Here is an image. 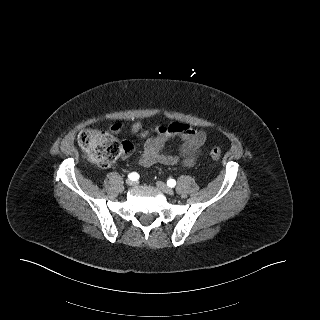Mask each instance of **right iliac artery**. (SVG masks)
Wrapping results in <instances>:
<instances>
[{"mask_svg":"<svg viewBox=\"0 0 320 320\" xmlns=\"http://www.w3.org/2000/svg\"><path fill=\"white\" fill-rule=\"evenodd\" d=\"M128 177L130 180L135 181L139 178V175L136 172H133V173H130Z\"/></svg>","mask_w":320,"mask_h":320,"instance_id":"obj_1","label":"right iliac artery"}]
</instances>
